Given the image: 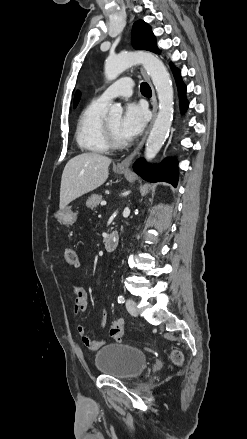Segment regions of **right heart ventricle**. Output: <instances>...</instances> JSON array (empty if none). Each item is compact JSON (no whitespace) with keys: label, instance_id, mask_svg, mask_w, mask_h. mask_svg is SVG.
<instances>
[{"label":"right heart ventricle","instance_id":"e07e8e85","mask_svg":"<svg viewBox=\"0 0 247 439\" xmlns=\"http://www.w3.org/2000/svg\"><path fill=\"white\" fill-rule=\"evenodd\" d=\"M106 107V103L94 99L82 110L75 132L80 149L93 153H104L110 149L104 137Z\"/></svg>","mask_w":247,"mask_h":439}]
</instances>
